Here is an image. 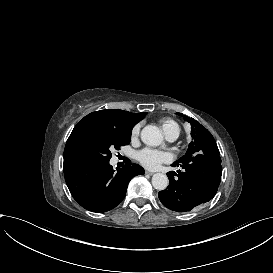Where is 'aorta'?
<instances>
[{
    "mask_svg": "<svg viewBox=\"0 0 273 273\" xmlns=\"http://www.w3.org/2000/svg\"><path fill=\"white\" fill-rule=\"evenodd\" d=\"M141 140L147 146H158L163 142L161 131L152 125L145 126L141 131ZM169 184L168 177L163 173H156L152 177V185L157 190H164Z\"/></svg>",
    "mask_w": 273,
    "mask_h": 273,
    "instance_id": "obj_1",
    "label": "aorta"
}]
</instances>
